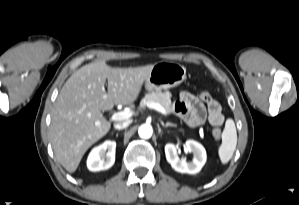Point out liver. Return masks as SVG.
Here are the masks:
<instances>
[{
    "mask_svg": "<svg viewBox=\"0 0 299 205\" xmlns=\"http://www.w3.org/2000/svg\"><path fill=\"white\" fill-rule=\"evenodd\" d=\"M152 68H113L99 61L69 77L56 100L50 126L55 157L68 172H75L87 149L110 130L101 110L136 101Z\"/></svg>",
    "mask_w": 299,
    "mask_h": 205,
    "instance_id": "6515ba94",
    "label": "liver"
}]
</instances>
